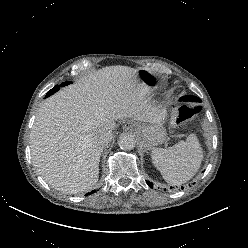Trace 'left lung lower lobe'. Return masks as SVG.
I'll use <instances>...</instances> for the list:
<instances>
[{
  "instance_id": "left-lung-lower-lobe-1",
  "label": "left lung lower lobe",
  "mask_w": 248,
  "mask_h": 248,
  "mask_svg": "<svg viewBox=\"0 0 248 248\" xmlns=\"http://www.w3.org/2000/svg\"><path fill=\"white\" fill-rule=\"evenodd\" d=\"M147 182V184L150 186V187H152V183H150L149 181H146ZM182 189H183V187H182Z\"/></svg>"
}]
</instances>
